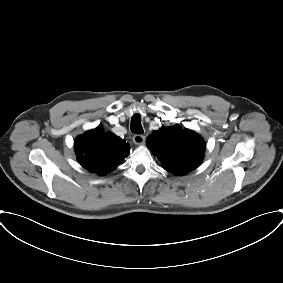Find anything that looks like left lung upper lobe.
I'll list each match as a JSON object with an SVG mask.
<instances>
[{
    "label": "left lung upper lobe",
    "instance_id": "left-lung-upper-lobe-1",
    "mask_svg": "<svg viewBox=\"0 0 283 283\" xmlns=\"http://www.w3.org/2000/svg\"><path fill=\"white\" fill-rule=\"evenodd\" d=\"M147 147L156 153L163 168L176 175L200 165L205 143L195 132L178 124L173 127H161L147 137Z\"/></svg>",
    "mask_w": 283,
    "mask_h": 283
}]
</instances>
